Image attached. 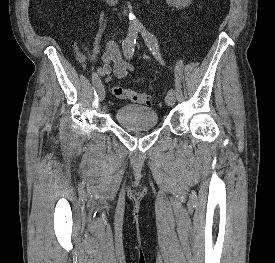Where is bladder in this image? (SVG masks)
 Returning a JSON list of instances; mask_svg holds the SVG:
<instances>
[{
	"label": "bladder",
	"instance_id": "obj_1",
	"mask_svg": "<svg viewBox=\"0 0 275 263\" xmlns=\"http://www.w3.org/2000/svg\"><path fill=\"white\" fill-rule=\"evenodd\" d=\"M117 122L128 130L154 128L158 124L157 112L147 106L125 105L116 109Z\"/></svg>",
	"mask_w": 275,
	"mask_h": 263
}]
</instances>
